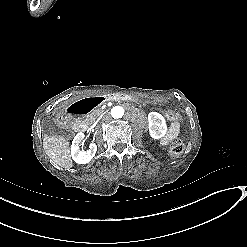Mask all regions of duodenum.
I'll use <instances>...</instances> for the list:
<instances>
[{
    "mask_svg": "<svg viewBox=\"0 0 247 247\" xmlns=\"http://www.w3.org/2000/svg\"><path fill=\"white\" fill-rule=\"evenodd\" d=\"M108 100L131 101L133 98L126 94H106L101 96H89L72 104L65 114V120L73 125L76 132H83L86 129V124L81 120V116L98 108L103 102Z\"/></svg>",
    "mask_w": 247,
    "mask_h": 247,
    "instance_id": "duodenum-1",
    "label": "duodenum"
}]
</instances>
